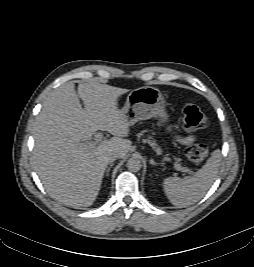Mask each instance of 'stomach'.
<instances>
[{
	"label": "stomach",
	"mask_w": 254,
	"mask_h": 267,
	"mask_svg": "<svg viewBox=\"0 0 254 267\" xmlns=\"http://www.w3.org/2000/svg\"><path fill=\"white\" fill-rule=\"evenodd\" d=\"M165 107L164 97L158 88L143 86L129 93L121 111L131 125L154 116L163 125L169 121Z\"/></svg>",
	"instance_id": "1"
}]
</instances>
